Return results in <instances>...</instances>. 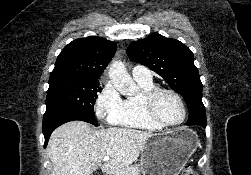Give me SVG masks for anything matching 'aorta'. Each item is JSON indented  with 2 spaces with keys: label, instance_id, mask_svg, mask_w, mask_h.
<instances>
[{
  "label": "aorta",
  "instance_id": "1",
  "mask_svg": "<svg viewBox=\"0 0 251 175\" xmlns=\"http://www.w3.org/2000/svg\"><path fill=\"white\" fill-rule=\"evenodd\" d=\"M109 78L115 89L122 95H133L136 91V84L127 72L123 62H113L109 68Z\"/></svg>",
  "mask_w": 251,
  "mask_h": 175
}]
</instances>
